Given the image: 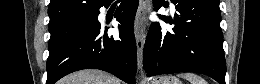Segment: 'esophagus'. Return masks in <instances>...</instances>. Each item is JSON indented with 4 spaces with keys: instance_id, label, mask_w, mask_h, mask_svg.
Here are the masks:
<instances>
[{
    "instance_id": "34e87169",
    "label": "esophagus",
    "mask_w": 260,
    "mask_h": 84,
    "mask_svg": "<svg viewBox=\"0 0 260 84\" xmlns=\"http://www.w3.org/2000/svg\"><path fill=\"white\" fill-rule=\"evenodd\" d=\"M149 0H139V6L137 9L134 31H135V39L137 46V66L139 70V77H143V48L145 43V25H144V16L148 9Z\"/></svg>"
}]
</instances>
